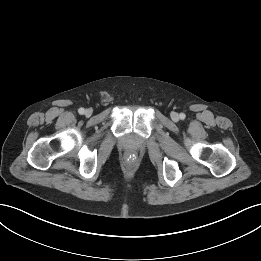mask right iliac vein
I'll return each instance as SVG.
<instances>
[{
    "label": "right iliac vein",
    "instance_id": "63e3f726",
    "mask_svg": "<svg viewBox=\"0 0 261 261\" xmlns=\"http://www.w3.org/2000/svg\"><path fill=\"white\" fill-rule=\"evenodd\" d=\"M85 115H86V116H90V115H91V111H90L89 109H87V110L85 111Z\"/></svg>",
    "mask_w": 261,
    "mask_h": 261
}]
</instances>
